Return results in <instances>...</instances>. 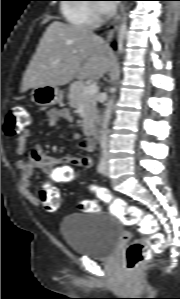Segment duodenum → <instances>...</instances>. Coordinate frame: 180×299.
<instances>
[{"label":"duodenum","mask_w":180,"mask_h":299,"mask_svg":"<svg viewBox=\"0 0 180 299\" xmlns=\"http://www.w3.org/2000/svg\"><path fill=\"white\" fill-rule=\"evenodd\" d=\"M84 131L86 132V134L88 135H92L94 132V126L92 123L90 122H85L84 123Z\"/></svg>","instance_id":"1"}]
</instances>
